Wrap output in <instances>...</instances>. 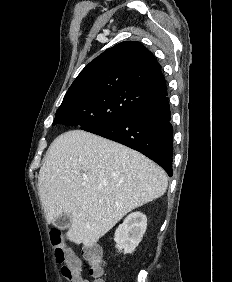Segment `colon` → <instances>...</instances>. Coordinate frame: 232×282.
Instances as JSON below:
<instances>
[{
	"label": "colon",
	"instance_id": "colon-1",
	"mask_svg": "<svg viewBox=\"0 0 232 282\" xmlns=\"http://www.w3.org/2000/svg\"><path fill=\"white\" fill-rule=\"evenodd\" d=\"M50 239L54 247V256L57 263L61 264V273L63 277L70 282L78 281L81 278L82 264L71 252L63 246L61 242V232L53 228L50 231ZM85 262L94 282H105L103 279L104 266L97 248L87 249Z\"/></svg>",
	"mask_w": 232,
	"mask_h": 282
}]
</instances>
